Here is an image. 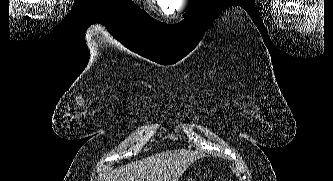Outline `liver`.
Here are the masks:
<instances>
[{"label": "liver", "instance_id": "liver-1", "mask_svg": "<svg viewBox=\"0 0 333 181\" xmlns=\"http://www.w3.org/2000/svg\"><path fill=\"white\" fill-rule=\"evenodd\" d=\"M200 157L186 149L161 152L113 170L104 181H178Z\"/></svg>", "mask_w": 333, "mask_h": 181}]
</instances>
